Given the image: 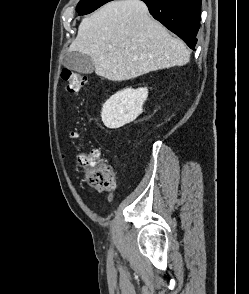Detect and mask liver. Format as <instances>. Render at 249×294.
I'll return each instance as SVG.
<instances>
[{"label": "liver", "instance_id": "6515ba94", "mask_svg": "<svg viewBox=\"0 0 249 294\" xmlns=\"http://www.w3.org/2000/svg\"><path fill=\"white\" fill-rule=\"evenodd\" d=\"M73 51L90 56L95 73L111 81L183 66L190 59L184 42L151 18L140 0L113 1L84 18L68 49Z\"/></svg>", "mask_w": 249, "mask_h": 294}]
</instances>
